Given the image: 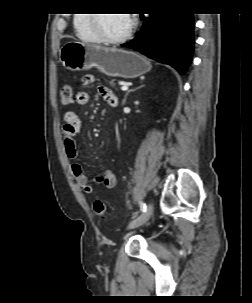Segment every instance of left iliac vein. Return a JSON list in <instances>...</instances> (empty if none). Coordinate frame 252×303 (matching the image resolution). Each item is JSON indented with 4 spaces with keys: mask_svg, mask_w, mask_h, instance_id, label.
<instances>
[{
    "mask_svg": "<svg viewBox=\"0 0 252 303\" xmlns=\"http://www.w3.org/2000/svg\"><path fill=\"white\" fill-rule=\"evenodd\" d=\"M152 211L153 207L151 204H149L146 211H144L141 215H139L137 218H135L129 223L128 228L134 229L145 224L150 219Z\"/></svg>",
    "mask_w": 252,
    "mask_h": 303,
    "instance_id": "obj_1",
    "label": "left iliac vein"
}]
</instances>
